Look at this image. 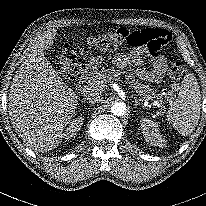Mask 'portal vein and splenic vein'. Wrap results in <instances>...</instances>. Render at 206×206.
I'll use <instances>...</instances> for the list:
<instances>
[{"label":"portal vein and splenic vein","mask_w":206,"mask_h":206,"mask_svg":"<svg viewBox=\"0 0 206 206\" xmlns=\"http://www.w3.org/2000/svg\"><path fill=\"white\" fill-rule=\"evenodd\" d=\"M86 87V86H85ZM93 87V86H92ZM153 105H157L158 107L160 106L158 101H154Z\"/></svg>","instance_id":"18ae733b"}]
</instances>
